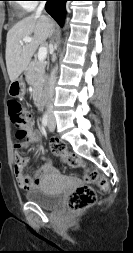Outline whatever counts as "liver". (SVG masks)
<instances>
[{
	"instance_id": "obj_1",
	"label": "liver",
	"mask_w": 133,
	"mask_h": 253,
	"mask_svg": "<svg viewBox=\"0 0 133 253\" xmlns=\"http://www.w3.org/2000/svg\"><path fill=\"white\" fill-rule=\"evenodd\" d=\"M53 28L54 22L50 17L32 14L17 22L8 31L5 59L11 82L27 70L33 54L39 45L45 43ZM26 37H31L33 40L20 43Z\"/></svg>"
}]
</instances>
